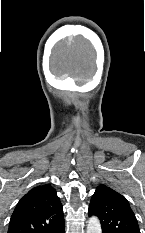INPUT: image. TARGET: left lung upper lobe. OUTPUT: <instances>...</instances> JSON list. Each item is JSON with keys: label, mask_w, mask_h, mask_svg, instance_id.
Masks as SVG:
<instances>
[{"label": "left lung upper lobe", "mask_w": 145, "mask_h": 233, "mask_svg": "<svg viewBox=\"0 0 145 233\" xmlns=\"http://www.w3.org/2000/svg\"><path fill=\"white\" fill-rule=\"evenodd\" d=\"M88 213L100 219L103 233H140L128 201L108 186L96 188Z\"/></svg>", "instance_id": "1"}]
</instances>
